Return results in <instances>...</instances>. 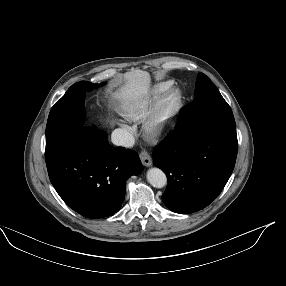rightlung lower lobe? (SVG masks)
Masks as SVG:
<instances>
[{
    "instance_id": "right-lung-lower-lobe-1",
    "label": "right lung lower lobe",
    "mask_w": 286,
    "mask_h": 286,
    "mask_svg": "<svg viewBox=\"0 0 286 286\" xmlns=\"http://www.w3.org/2000/svg\"><path fill=\"white\" fill-rule=\"evenodd\" d=\"M45 160L59 196L87 218L116 213L127 178L142 171L137 153L111 146L102 132L87 126L46 142Z\"/></svg>"
}]
</instances>
